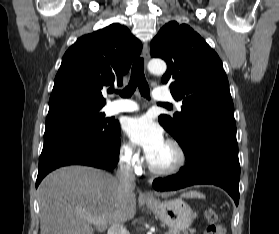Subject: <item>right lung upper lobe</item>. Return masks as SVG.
<instances>
[{
	"label": "right lung upper lobe",
	"instance_id": "1",
	"mask_svg": "<svg viewBox=\"0 0 279 234\" xmlns=\"http://www.w3.org/2000/svg\"><path fill=\"white\" fill-rule=\"evenodd\" d=\"M142 44L118 23L80 37L64 54L49 110L64 106L102 109L101 90L121 86Z\"/></svg>",
	"mask_w": 279,
	"mask_h": 234
}]
</instances>
